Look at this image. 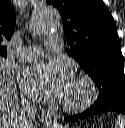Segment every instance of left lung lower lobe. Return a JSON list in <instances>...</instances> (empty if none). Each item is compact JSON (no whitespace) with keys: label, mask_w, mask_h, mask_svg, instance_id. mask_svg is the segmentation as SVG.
<instances>
[{"label":"left lung lower lobe","mask_w":125,"mask_h":128,"mask_svg":"<svg viewBox=\"0 0 125 128\" xmlns=\"http://www.w3.org/2000/svg\"><path fill=\"white\" fill-rule=\"evenodd\" d=\"M107 111L125 114V88L118 89L112 96L102 102L94 103L81 114L66 117L65 121L75 122Z\"/></svg>","instance_id":"obj_1"}]
</instances>
